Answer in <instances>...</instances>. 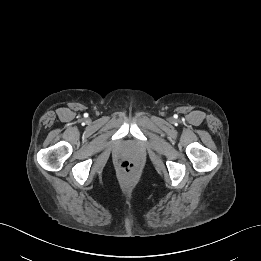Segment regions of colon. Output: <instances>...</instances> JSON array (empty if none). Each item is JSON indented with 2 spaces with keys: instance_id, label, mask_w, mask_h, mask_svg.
<instances>
[{
  "instance_id": "5ec220e1",
  "label": "colon",
  "mask_w": 261,
  "mask_h": 261,
  "mask_svg": "<svg viewBox=\"0 0 261 261\" xmlns=\"http://www.w3.org/2000/svg\"><path fill=\"white\" fill-rule=\"evenodd\" d=\"M120 170L122 175L126 177H134L138 172L137 166L129 161L122 162L120 165Z\"/></svg>"
}]
</instances>
